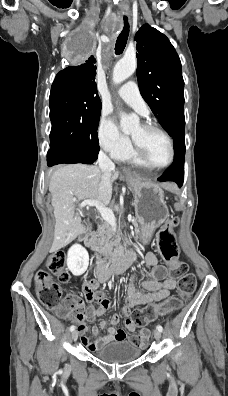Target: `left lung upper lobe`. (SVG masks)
I'll list each match as a JSON object with an SVG mask.
<instances>
[{
  "instance_id": "1",
  "label": "left lung upper lobe",
  "mask_w": 228,
  "mask_h": 396,
  "mask_svg": "<svg viewBox=\"0 0 228 396\" xmlns=\"http://www.w3.org/2000/svg\"><path fill=\"white\" fill-rule=\"evenodd\" d=\"M140 92L169 135L185 128L184 81L176 50L169 39L143 25L135 35Z\"/></svg>"
}]
</instances>
